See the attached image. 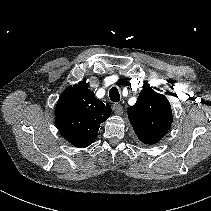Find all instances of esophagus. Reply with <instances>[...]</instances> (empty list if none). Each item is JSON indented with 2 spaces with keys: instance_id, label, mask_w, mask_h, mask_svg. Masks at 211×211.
<instances>
[{
  "instance_id": "1",
  "label": "esophagus",
  "mask_w": 211,
  "mask_h": 211,
  "mask_svg": "<svg viewBox=\"0 0 211 211\" xmlns=\"http://www.w3.org/2000/svg\"><path fill=\"white\" fill-rule=\"evenodd\" d=\"M113 111L115 114L121 115L123 113V108L120 104L115 103V104H113Z\"/></svg>"
}]
</instances>
